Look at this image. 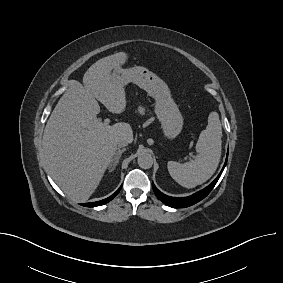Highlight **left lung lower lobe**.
Listing matches in <instances>:
<instances>
[{"mask_svg": "<svg viewBox=\"0 0 283 283\" xmlns=\"http://www.w3.org/2000/svg\"><path fill=\"white\" fill-rule=\"evenodd\" d=\"M227 158H228V153H227V157H226V161L225 164L220 172V174L217 176V178L206 188H204L203 190L189 196V197H170L167 196L165 194H163L162 192H160L155 185L152 183V188L153 191L155 193V195L163 202L165 203L167 206L173 207V208H182V207H189L193 204H196L197 202L201 201L202 199H204L213 189V187L215 186V184L217 183V181L219 180L225 165L227 163Z\"/></svg>", "mask_w": 283, "mask_h": 283, "instance_id": "0a47b994", "label": "left lung lower lobe"}]
</instances>
